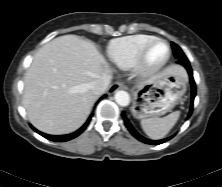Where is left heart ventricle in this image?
<instances>
[{
  "label": "left heart ventricle",
  "mask_w": 222,
  "mask_h": 187,
  "mask_svg": "<svg viewBox=\"0 0 222 187\" xmlns=\"http://www.w3.org/2000/svg\"><path fill=\"white\" fill-rule=\"evenodd\" d=\"M167 53V47L164 44H156L150 54L149 60L152 63L160 62Z\"/></svg>",
  "instance_id": "b2bd125f"
}]
</instances>
